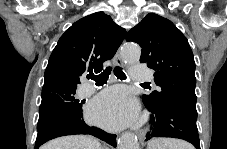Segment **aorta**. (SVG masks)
I'll list each match as a JSON object with an SVG mask.
<instances>
[{
    "mask_svg": "<svg viewBox=\"0 0 227 149\" xmlns=\"http://www.w3.org/2000/svg\"><path fill=\"white\" fill-rule=\"evenodd\" d=\"M141 55V49L134 44H128L123 47L121 57L128 63L138 62ZM118 149H139L137 137L131 132H125L118 141Z\"/></svg>",
    "mask_w": 227,
    "mask_h": 149,
    "instance_id": "obj_1",
    "label": "aorta"
}]
</instances>
